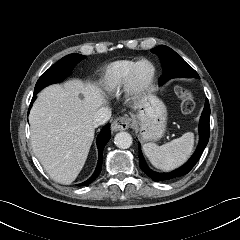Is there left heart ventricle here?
<instances>
[{"label": "left heart ventricle", "instance_id": "1", "mask_svg": "<svg viewBox=\"0 0 240 240\" xmlns=\"http://www.w3.org/2000/svg\"><path fill=\"white\" fill-rule=\"evenodd\" d=\"M150 74V67L146 64L140 66L137 72V77L139 80H145Z\"/></svg>", "mask_w": 240, "mask_h": 240}]
</instances>
